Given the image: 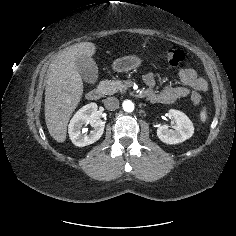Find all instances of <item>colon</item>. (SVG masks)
<instances>
[{
	"label": "colon",
	"instance_id": "obj_1",
	"mask_svg": "<svg viewBox=\"0 0 236 236\" xmlns=\"http://www.w3.org/2000/svg\"><path fill=\"white\" fill-rule=\"evenodd\" d=\"M163 57L166 62L172 66H176L184 60V53L175 48H165L163 50ZM191 101L194 104H199L201 102V96L197 92H192Z\"/></svg>",
	"mask_w": 236,
	"mask_h": 236
}]
</instances>
